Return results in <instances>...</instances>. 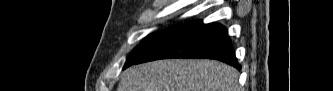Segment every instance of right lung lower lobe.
Listing matches in <instances>:
<instances>
[{"instance_id":"right-lung-lower-lobe-1","label":"right lung lower lobe","mask_w":333,"mask_h":91,"mask_svg":"<svg viewBox=\"0 0 333 91\" xmlns=\"http://www.w3.org/2000/svg\"><path fill=\"white\" fill-rule=\"evenodd\" d=\"M166 58L216 59L241 69L226 28L218 23H187L133 64Z\"/></svg>"}]
</instances>
